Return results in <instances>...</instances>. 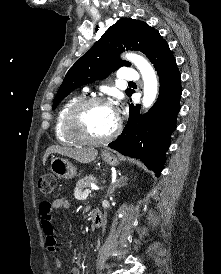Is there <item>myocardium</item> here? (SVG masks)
Wrapping results in <instances>:
<instances>
[{
    "label": "myocardium",
    "instance_id": "f54148a6",
    "mask_svg": "<svg viewBox=\"0 0 221 274\" xmlns=\"http://www.w3.org/2000/svg\"><path fill=\"white\" fill-rule=\"evenodd\" d=\"M96 105L111 106V101L104 97L84 98L76 102L67 112L65 117V130L74 140L86 144H103L112 140L121 127L120 119L117 117L111 132L103 137H92L83 128V117L88 109Z\"/></svg>",
    "mask_w": 221,
    "mask_h": 274
}]
</instances>
